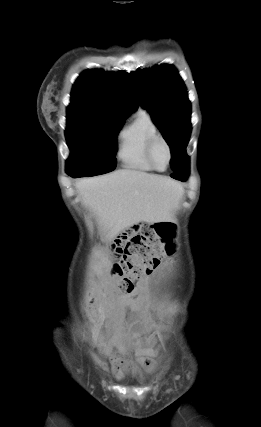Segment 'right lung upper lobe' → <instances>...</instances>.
<instances>
[{
    "mask_svg": "<svg viewBox=\"0 0 261 427\" xmlns=\"http://www.w3.org/2000/svg\"><path fill=\"white\" fill-rule=\"evenodd\" d=\"M138 106L128 73L90 69L76 80L67 114L87 113L126 119Z\"/></svg>",
    "mask_w": 261,
    "mask_h": 427,
    "instance_id": "right-lung-upper-lobe-1",
    "label": "right lung upper lobe"
}]
</instances>
